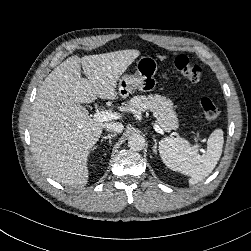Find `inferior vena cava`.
I'll list each match as a JSON object with an SVG mask.
<instances>
[{
  "instance_id": "inferior-vena-cava-1",
  "label": "inferior vena cava",
  "mask_w": 251,
  "mask_h": 251,
  "mask_svg": "<svg viewBox=\"0 0 251 251\" xmlns=\"http://www.w3.org/2000/svg\"><path fill=\"white\" fill-rule=\"evenodd\" d=\"M103 127L105 130L115 133H121L124 128L123 124L119 122H108Z\"/></svg>"
}]
</instances>
